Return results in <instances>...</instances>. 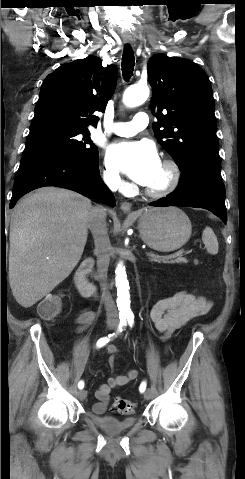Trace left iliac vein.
I'll list each match as a JSON object with an SVG mask.
<instances>
[{
    "label": "left iliac vein",
    "instance_id": "1",
    "mask_svg": "<svg viewBox=\"0 0 245 479\" xmlns=\"http://www.w3.org/2000/svg\"><path fill=\"white\" fill-rule=\"evenodd\" d=\"M150 396H151V391H150V390H146V391L144 392V398H145L146 400H148V399L150 398Z\"/></svg>",
    "mask_w": 245,
    "mask_h": 479
}]
</instances>
